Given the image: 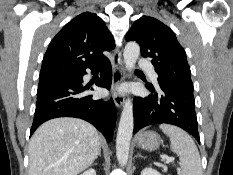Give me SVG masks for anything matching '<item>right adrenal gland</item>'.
<instances>
[{
	"mask_svg": "<svg viewBox=\"0 0 233 175\" xmlns=\"http://www.w3.org/2000/svg\"><path fill=\"white\" fill-rule=\"evenodd\" d=\"M98 156L101 157V146H100V149H99V152H98ZM98 156L96 157V159L98 158Z\"/></svg>",
	"mask_w": 233,
	"mask_h": 175,
	"instance_id": "obj_1",
	"label": "right adrenal gland"
}]
</instances>
